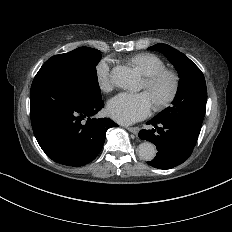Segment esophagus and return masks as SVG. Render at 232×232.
I'll use <instances>...</instances> for the list:
<instances>
[{"mask_svg": "<svg viewBox=\"0 0 232 232\" xmlns=\"http://www.w3.org/2000/svg\"><path fill=\"white\" fill-rule=\"evenodd\" d=\"M126 129L128 131L132 132L135 135H137V133L139 132V128L138 127H127Z\"/></svg>", "mask_w": 232, "mask_h": 232, "instance_id": "1", "label": "esophagus"}]
</instances>
